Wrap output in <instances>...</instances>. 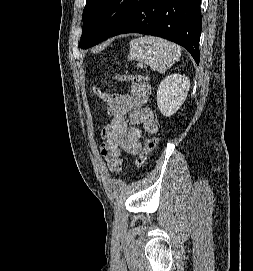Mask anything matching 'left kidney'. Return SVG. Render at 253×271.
<instances>
[{"label":"left kidney","instance_id":"1","mask_svg":"<svg viewBox=\"0 0 253 271\" xmlns=\"http://www.w3.org/2000/svg\"><path fill=\"white\" fill-rule=\"evenodd\" d=\"M190 88V80L185 75L172 74L160 83L157 90V105L161 114L170 117L184 103Z\"/></svg>","mask_w":253,"mask_h":271}]
</instances>
